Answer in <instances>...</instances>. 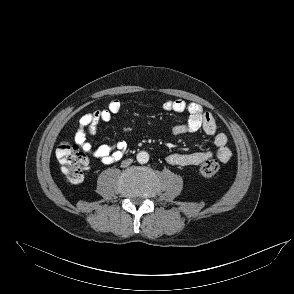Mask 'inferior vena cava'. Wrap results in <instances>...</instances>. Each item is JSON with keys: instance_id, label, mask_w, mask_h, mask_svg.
Here are the masks:
<instances>
[{"instance_id": "inferior-vena-cava-1", "label": "inferior vena cava", "mask_w": 294, "mask_h": 294, "mask_svg": "<svg viewBox=\"0 0 294 294\" xmlns=\"http://www.w3.org/2000/svg\"><path fill=\"white\" fill-rule=\"evenodd\" d=\"M132 162H133L132 159H126V160L122 161L121 167L125 168V167L129 166Z\"/></svg>"}]
</instances>
